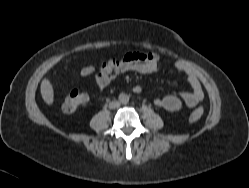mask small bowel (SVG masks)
I'll list each match as a JSON object with an SVG mask.
<instances>
[{
	"mask_svg": "<svg viewBox=\"0 0 249 188\" xmlns=\"http://www.w3.org/2000/svg\"><path fill=\"white\" fill-rule=\"evenodd\" d=\"M159 62L160 58L157 54L138 51L126 53L121 60L110 59L100 65L95 76L96 87L99 91H103L117 75L129 71L143 75L153 74L157 72ZM176 69L186 76L191 89L188 92L156 98L155 105L168 112H176L183 105L195 107L204 97L201 83L196 74L183 62H177Z\"/></svg>",
	"mask_w": 249,
	"mask_h": 188,
	"instance_id": "obj_1",
	"label": "small bowel"
}]
</instances>
